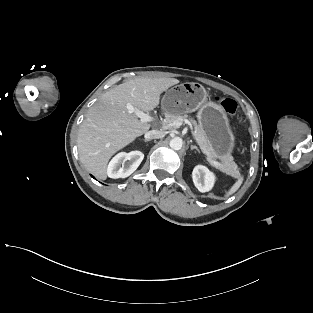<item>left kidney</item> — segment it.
Segmentation results:
<instances>
[{"label":"left kidney","mask_w":313,"mask_h":313,"mask_svg":"<svg viewBox=\"0 0 313 313\" xmlns=\"http://www.w3.org/2000/svg\"><path fill=\"white\" fill-rule=\"evenodd\" d=\"M192 178L195 187L200 192H208L212 189L215 176L209 169L202 165H197L192 172Z\"/></svg>","instance_id":"5707ae66"}]
</instances>
